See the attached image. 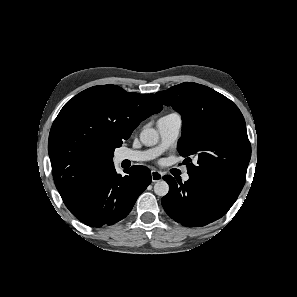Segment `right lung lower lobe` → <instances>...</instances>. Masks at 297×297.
<instances>
[{
	"label": "right lung lower lobe",
	"instance_id": "right-lung-lower-lobe-1",
	"mask_svg": "<svg viewBox=\"0 0 297 297\" xmlns=\"http://www.w3.org/2000/svg\"><path fill=\"white\" fill-rule=\"evenodd\" d=\"M124 177L115 168L91 181L70 203L71 213L91 227L114 224L125 218L138 196L151 183L145 166H132Z\"/></svg>",
	"mask_w": 297,
	"mask_h": 297
}]
</instances>
